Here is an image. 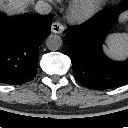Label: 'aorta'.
<instances>
[{"mask_svg":"<svg viewBox=\"0 0 128 128\" xmlns=\"http://www.w3.org/2000/svg\"><path fill=\"white\" fill-rule=\"evenodd\" d=\"M62 44H63L62 38L56 34H51L46 39V46L51 51H56L60 49Z\"/></svg>","mask_w":128,"mask_h":128,"instance_id":"1","label":"aorta"}]
</instances>
